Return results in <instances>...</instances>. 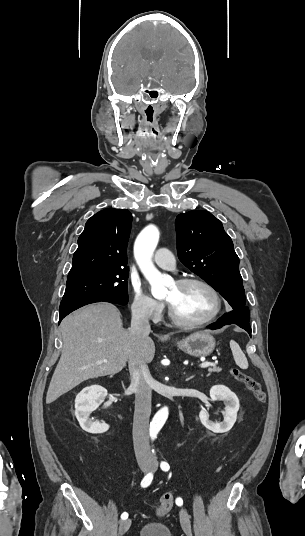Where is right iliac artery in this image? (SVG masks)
<instances>
[{"label":"right iliac artery","instance_id":"82829eb1","mask_svg":"<svg viewBox=\"0 0 305 536\" xmlns=\"http://www.w3.org/2000/svg\"><path fill=\"white\" fill-rule=\"evenodd\" d=\"M152 479H153V475L152 473H148L142 480L141 482V486L142 487H148L151 482H152ZM128 518V513L124 512L122 515H121V519L125 520Z\"/></svg>","mask_w":305,"mask_h":536}]
</instances>
